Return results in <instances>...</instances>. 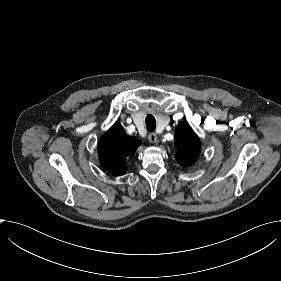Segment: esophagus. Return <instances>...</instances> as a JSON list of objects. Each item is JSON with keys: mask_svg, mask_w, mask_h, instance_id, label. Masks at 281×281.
<instances>
[{"mask_svg": "<svg viewBox=\"0 0 281 281\" xmlns=\"http://www.w3.org/2000/svg\"><path fill=\"white\" fill-rule=\"evenodd\" d=\"M148 140L151 142V143H156L157 142V135L156 133H150L148 135Z\"/></svg>", "mask_w": 281, "mask_h": 281, "instance_id": "1", "label": "esophagus"}]
</instances>
